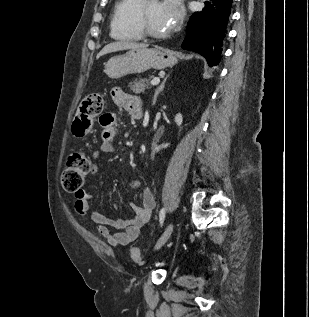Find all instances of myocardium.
<instances>
[{"label": "myocardium", "instance_id": "f54148a6", "mask_svg": "<svg viewBox=\"0 0 309 317\" xmlns=\"http://www.w3.org/2000/svg\"><path fill=\"white\" fill-rule=\"evenodd\" d=\"M138 25L143 33L144 36L155 38V39H161L166 38L170 35L171 32H165V33H157L151 30V28L148 26L147 19H146V12H145V5H141L139 12H138Z\"/></svg>", "mask_w": 309, "mask_h": 317}]
</instances>
